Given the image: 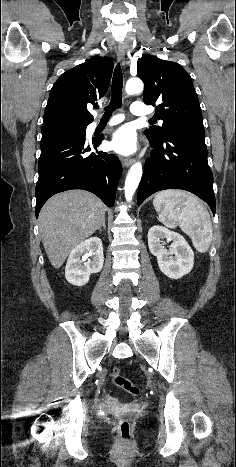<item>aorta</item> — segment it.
<instances>
[{"label":"aorta","instance_id":"762f6f07","mask_svg":"<svg viewBox=\"0 0 236 467\" xmlns=\"http://www.w3.org/2000/svg\"><path fill=\"white\" fill-rule=\"evenodd\" d=\"M144 85L143 82L138 78L129 79L125 86V91L127 94H137L143 91ZM142 176V164L140 162L134 163L125 180V197L128 202L132 200V197L140 183Z\"/></svg>","mask_w":236,"mask_h":467}]
</instances>
